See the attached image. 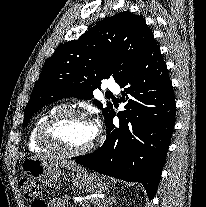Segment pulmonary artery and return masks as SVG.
I'll return each instance as SVG.
<instances>
[{"label": "pulmonary artery", "mask_w": 206, "mask_h": 207, "mask_svg": "<svg viewBox=\"0 0 206 207\" xmlns=\"http://www.w3.org/2000/svg\"><path fill=\"white\" fill-rule=\"evenodd\" d=\"M107 87H108L112 92H114L115 94H118V93L120 92V88H119L118 85L115 84V83H109V84L107 85Z\"/></svg>", "instance_id": "obj_1"}]
</instances>
